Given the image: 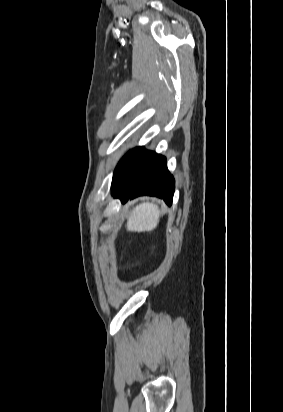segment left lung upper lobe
I'll use <instances>...</instances> for the list:
<instances>
[{"instance_id": "5c2ea615", "label": "left lung upper lobe", "mask_w": 283, "mask_h": 412, "mask_svg": "<svg viewBox=\"0 0 283 412\" xmlns=\"http://www.w3.org/2000/svg\"><path fill=\"white\" fill-rule=\"evenodd\" d=\"M146 153L147 150L143 147H137L121 159L113 175L118 182L123 183L131 176Z\"/></svg>"}]
</instances>
